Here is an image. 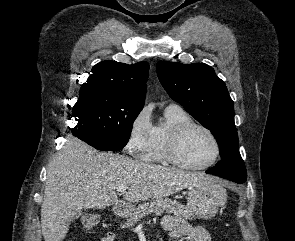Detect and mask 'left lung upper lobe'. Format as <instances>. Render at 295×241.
Returning a JSON list of instances; mask_svg holds the SVG:
<instances>
[{
  "mask_svg": "<svg viewBox=\"0 0 295 241\" xmlns=\"http://www.w3.org/2000/svg\"><path fill=\"white\" fill-rule=\"evenodd\" d=\"M156 70L169 96L215 136L221 161L209 170L225 179L244 183L247 172L238 150L234 105L225 83L204 63L160 61Z\"/></svg>",
  "mask_w": 295,
  "mask_h": 241,
  "instance_id": "obj_1",
  "label": "left lung upper lobe"
}]
</instances>
